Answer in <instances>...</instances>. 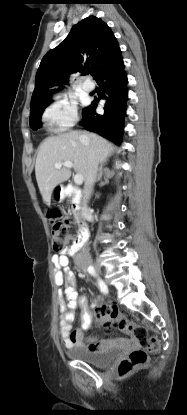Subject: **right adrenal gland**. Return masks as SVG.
<instances>
[{"mask_svg": "<svg viewBox=\"0 0 187 415\" xmlns=\"http://www.w3.org/2000/svg\"><path fill=\"white\" fill-rule=\"evenodd\" d=\"M104 165H105V163H101V165H100L99 173H98L97 178H96V182L101 181V178H102L104 172H108V169L103 168Z\"/></svg>", "mask_w": 187, "mask_h": 415, "instance_id": "2a0ac1e0", "label": "right adrenal gland"}]
</instances>
